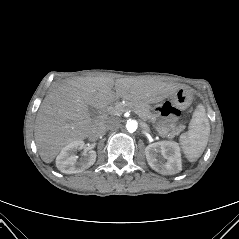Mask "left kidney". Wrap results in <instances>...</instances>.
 <instances>
[{"label": "left kidney", "instance_id": "5707ae66", "mask_svg": "<svg viewBox=\"0 0 239 239\" xmlns=\"http://www.w3.org/2000/svg\"><path fill=\"white\" fill-rule=\"evenodd\" d=\"M145 155L149 166L162 175H174L182 170L180 147L174 141L149 144L145 148Z\"/></svg>", "mask_w": 239, "mask_h": 239}]
</instances>
